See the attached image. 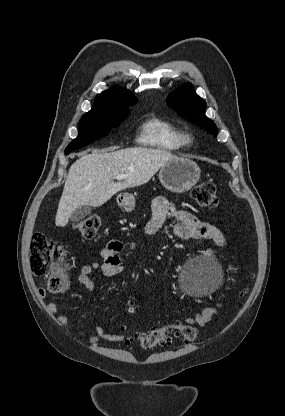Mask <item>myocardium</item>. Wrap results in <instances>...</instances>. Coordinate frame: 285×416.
<instances>
[{
  "label": "myocardium",
  "mask_w": 285,
  "mask_h": 416,
  "mask_svg": "<svg viewBox=\"0 0 285 416\" xmlns=\"http://www.w3.org/2000/svg\"><path fill=\"white\" fill-rule=\"evenodd\" d=\"M181 143L183 146H191L194 143V136L190 132H182Z\"/></svg>",
  "instance_id": "obj_1"
}]
</instances>
